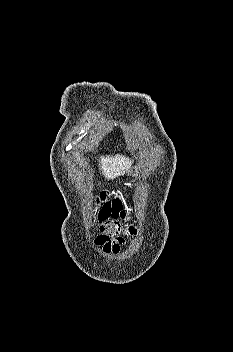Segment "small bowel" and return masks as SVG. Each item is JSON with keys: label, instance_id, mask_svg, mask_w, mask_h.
I'll use <instances>...</instances> for the list:
<instances>
[{"label": "small bowel", "instance_id": "c3829d8e", "mask_svg": "<svg viewBox=\"0 0 233 352\" xmlns=\"http://www.w3.org/2000/svg\"><path fill=\"white\" fill-rule=\"evenodd\" d=\"M98 202L101 203V209L99 211V220L115 219L117 221L124 220L126 218V211L123 209L122 200L120 196H110L107 191H102L98 196ZM97 244L102 246L106 253H118L123 244L121 237L115 239H105L99 237Z\"/></svg>", "mask_w": 233, "mask_h": 352}]
</instances>
